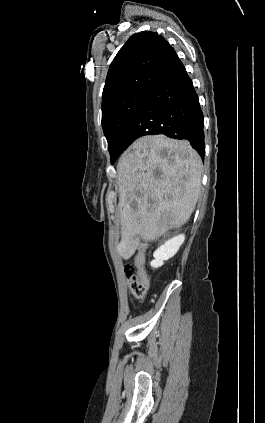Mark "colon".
<instances>
[{"label": "colon", "mask_w": 265, "mask_h": 423, "mask_svg": "<svg viewBox=\"0 0 265 423\" xmlns=\"http://www.w3.org/2000/svg\"><path fill=\"white\" fill-rule=\"evenodd\" d=\"M124 272L129 282L131 294L137 298H142L148 289V277L143 270L142 262L138 260L125 264Z\"/></svg>", "instance_id": "5ec220e1"}]
</instances>
